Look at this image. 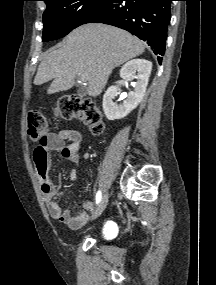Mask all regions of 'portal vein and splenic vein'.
Listing matches in <instances>:
<instances>
[{
	"instance_id": "portal-vein-and-splenic-vein-1",
	"label": "portal vein and splenic vein",
	"mask_w": 216,
	"mask_h": 285,
	"mask_svg": "<svg viewBox=\"0 0 216 285\" xmlns=\"http://www.w3.org/2000/svg\"><path fill=\"white\" fill-rule=\"evenodd\" d=\"M78 76L80 77L81 81H86V76L83 74H78Z\"/></svg>"
}]
</instances>
